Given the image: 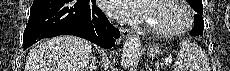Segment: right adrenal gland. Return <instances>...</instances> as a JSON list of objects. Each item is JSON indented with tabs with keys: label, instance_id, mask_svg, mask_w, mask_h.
<instances>
[{
	"label": "right adrenal gland",
	"instance_id": "2a0ac1e0",
	"mask_svg": "<svg viewBox=\"0 0 230 71\" xmlns=\"http://www.w3.org/2000/svg\"><path fill=\"white\" fill-rule=\"evenodd\" d=\"M97 63H98V61H96L95 57L91 56V63L85 69V71H96L97 70V66H96Z\"/></svg>",
	"mask_w": 230,
	"mask_h": 71
}]
</instances>
